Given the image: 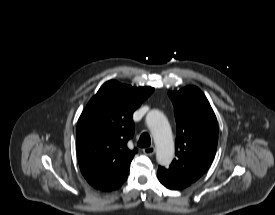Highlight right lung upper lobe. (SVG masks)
<instances>
[{
  "mask_svg": "<svg viewBox=\"0 0 275 215\" xmlns=\"http://www.w3.org/2000/svg\"><path fill=\"white\" fill-rule=\"evenodd\" d=\"M153 91L110 80L85 107L76 129L77 154L81 172L94 188L112 189L126 180L137 152L127 147L133 112Z\"/></svg>",
  "mask_w": 275,
  "mask_h": 215,
  "instance_id": "right-lung-upper-lobe-1",
  "label": "right lung upper lobe"
}]
</instances>
